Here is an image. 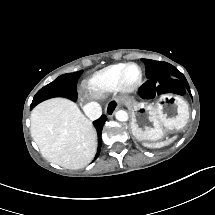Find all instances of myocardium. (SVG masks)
Instances as JSON below:
<instances>
[{"instance_id":"f54148a6","label":"myocardium","mask_w":215,"mask_h":215,"mask_svg":"<svg viewBox=\"0 0 215 215\" xmlns=\"http://www.w3.org/2000/svg\"><path fill=\"white\" fill-rule=\"evenodd\" d=\"M121 72H119L117 74L116 77V83L113 85L114 86V93H119V94H129L134 92L142 83V70L140 68V66L134 62H128V63H124L122 66ZM128 67H132L135 69L136 71V75L133 78V80H131L129 83L124 84V78L126 77L124 75V73L126 72V68Z\"/></svg>"}]
</instances>
